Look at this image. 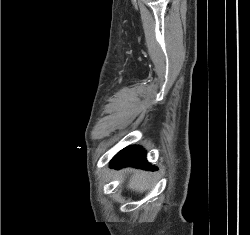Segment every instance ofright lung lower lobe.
I'll return each instance as SVG.
<instances>
[{
    "instance_id": "98d812e1",
    "label": "right lung lower lobe",
    "mask_w": 250,
    "mask_h": 235,
    "mask_svg": "<svg viewBox=\"0 0 250 235\" xmlns=\"http://www.w3.org/2000/svg\"><path fill=\"white\" fill-rule=\"evenodd\" d=\"M111 167L138 166L144 169L156 170L146 161V152L139 146H130L121 150L111 161Z\"/></svg>"
}]
</instances>
